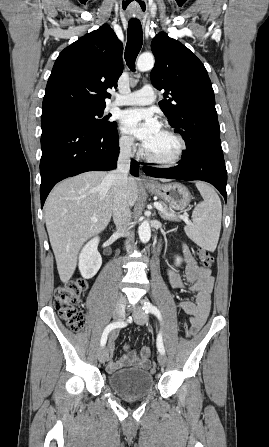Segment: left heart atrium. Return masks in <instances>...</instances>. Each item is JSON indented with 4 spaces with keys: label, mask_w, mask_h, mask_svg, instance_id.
<instances>
[{
    "label": "left heart atrium",
    "mask_w": 269,
    "mask_h": 447,
    "mask_svg": "<svg viewBox=\"0 0 269 447\" xmlns=\"http://www.w3.org/2000/svg\"><path fill=\"white\" fill-rule=\"evenodd\" d=\"M121 128L123 132L131 134L144 143H147L161 128V122L149 110L129 109L121 115Z\"/></svg>",
    "instance_id": "1"
}]
</instances>
